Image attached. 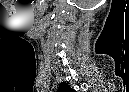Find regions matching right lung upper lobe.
<instances>
[{
  "mask_svg": "<svg viewBox=\"0 0 129 92\" xmlns=\"http://www.w3.org/2000/svg\"><path fill=\"white\" fill-rule=\"evenodd\" d=\"M59 89L62 91H73L66 83H61Z\"/></svg>",
  "mask_w": 129,
  "mask_h": 92,
  "instance_id": "cb5924a9",
  "label": "right lung upper lobe"
}]
</instances>
